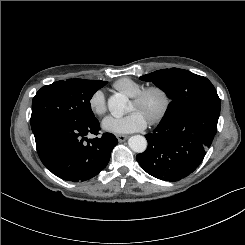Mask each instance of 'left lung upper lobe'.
I'll list each match as a JSON object with an SVG mask.
<instances>
[{
	"mask_svg": "<svg viewBox=\"0 0 245 245\" xmlns=\"http://www.w3.org/2000/svg\"><path fill=\"white\" fill-rule=\"evenodd\" d=\"M152 81L172 100L160 124L176 121L195 110H212L220 113V99L205 77L190 71L170 68L162 69L140 77Z\"/></svg>",
	"mask_w": 245,
	"mask_h": 245,
	"instance_id": "left-lung-upper-lobe-1",
	"label": "left lung upper lobe"
}]
</instances>
